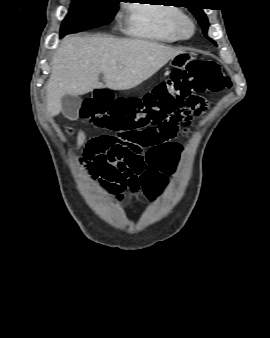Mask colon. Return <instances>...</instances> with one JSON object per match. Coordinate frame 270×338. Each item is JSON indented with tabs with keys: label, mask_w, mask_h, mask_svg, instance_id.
<instances>
[{
	"label": "colon",
	"mask_w": 270,
	"mask_h": 338,
	"mask_svg": "<svg viewBox=\"0 0 270 338\" xmlns=\"http://www.w3.org/2000/svg\"><path fill=\"white\" fill-rule=\"evenodd\" d=\"M230 80L214 61L192 60L185 70L177 69L169 79L159 82L143 98L114 99L108 91H99L84 99L78 118L114 131L122 140L138 146L106 176V186L119 200L128 191L135 192L139 177L149 170L142 148L154 160L178 145H161L178 133L181 122L205 111L202 95L229 88ZM186 135V130L183 131Z\"/></svg>",
	"instance_id": "1"
}]
</instances>
